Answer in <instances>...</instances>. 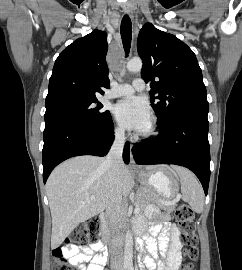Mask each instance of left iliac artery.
<instances>
[{"label": "left iliac artery", "instance_id": "left-iliac-artery-1", "mask_svg": "<svg viewBox=\"0 0 242 270\" xmlns=\"http://www.w3.org/2000/svg\"><path fill=\"white\" fill-rule=\"evenodd\" d=\"M128 270H134V269H133V267H132V266H130Z\"/></svg>", "mask_w": 242, "mask_h": 270}]
</instances>
